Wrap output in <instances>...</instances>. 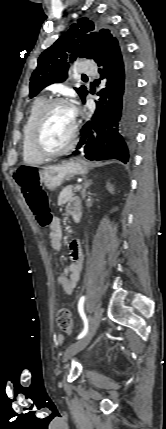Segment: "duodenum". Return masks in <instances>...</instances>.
<instances>
[{
  "label": "duodenum",
  "mask_w": 166,
  "mask_h": 429,
  "mask_svg": "<svg viewBox=\"0 0 166 429\" xmlns=\"http://www.w3.org/2000/svg\"><path fill=\"white\" fill-rule=\"evenodd\" d=\"M73 217H74L75 220H79L80 214L78 212H74L73 213Z\"/></svg>",
  "instance_id": "obj_1"
}]
</instances>
